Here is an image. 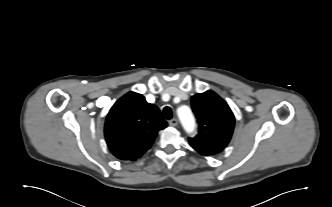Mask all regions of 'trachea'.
Listing matches in <instances>:
<instances>
[{
  "mask_svg": "<svg viewBox=\"0 0 332 207\" xmlns=\"http://www.w3.org/2000/svg\"><path fill=\"white\" fill-rule=\"evenodd\" d=\"M163 114L166 119H171L172 118V110L170 107L166 106L163 108Z\"/></svg>",
  "mask_w": 332,
  "mask_h": 207,
  "instance_id": "1",
  "label": "trachea"
}]
</instances>
